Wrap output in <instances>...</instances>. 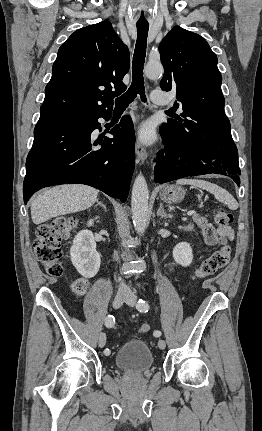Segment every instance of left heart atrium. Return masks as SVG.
I'll return each instance as SVG.
<instances>
[{
	"mask_svg": "<svg viewBox=\"0 0 262 431\" xmlns=\"http://www.w3.org/2000/svg\"><path fill=\"white\" fill-rule=\"evenodd\" d=\"M140 138L145 143H150L153 138V130L148 125H143L139 131Z\"/></svg>",
	"mask_w": 262,
	"mask_h": 431,
	"instance_id": "39dd6f15",
	"label": "left heart atrium"
}]
</instances>
